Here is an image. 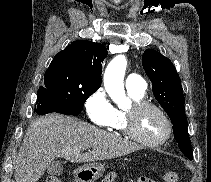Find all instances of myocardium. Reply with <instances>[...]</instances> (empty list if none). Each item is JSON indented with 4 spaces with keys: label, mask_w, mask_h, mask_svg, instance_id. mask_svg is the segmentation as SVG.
<instances>
[{
    "label": "myocardium",
    "mask_w": 211,
    "mask_h": 182,
    "mask_svg": "<svg viewBox=\"0 0 211 182\" xmlns=\"http://www.w3.org/2000/svg\"><path fill=\"white\" fill-rule=\"evenodd\" d=\"M147 108H152L156 110L162 116L166 125V130L164 134L161 136L160 139L156 141L144 140L138 135L136 131L135 127L136 116L138 115L139 112ZM125 125H126L125 126L126 134L137 143L147 147H158L166 143L171 137L173 128L172 122L166 111L158 104L146 100H138L133 103L132 107L125 113Z\"/></svg>",
    "instance_id": "1"
}]
</instances>
